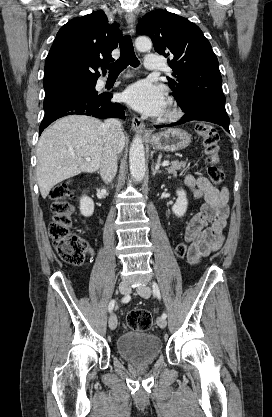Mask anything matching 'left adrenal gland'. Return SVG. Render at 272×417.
<instances>
[{
  "instance_id": "obj_1",
  "label": "left adrenal gland",
  "mask_w": 272,
  "mask_h": 417,
  "mask_svg": "<svg viewBox=\"0 0 272 417\" xmlns=\"http://www.w3.org/2000/svg\"><path fill=\"white\" fill-rule=\"evenodd\" d=\"M151 170L153 176H155L157 173H161V171L158 170V168H154V165H152Z\"/></svg>"
}]
</instances>
